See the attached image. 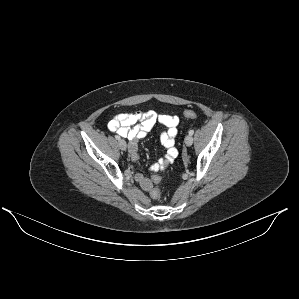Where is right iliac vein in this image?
I'll return each instance as SVG.
<instances>
[{"label":"right iliac vein","mask_w":299,"mask_h":299,"mask_svg":"<svg viewBox=\"0 0 299 299\" xmlns=\"http://www.w3.org/2000/svg\"><path fill=\"white\" fill-rule=\"evenodd\" d=\"M118 145H119L121 150H126V148H127V144H126L125 140H123V139H120L118 141Z\"/></svg>","instance_id":"63e3f726"}]
</instances>
